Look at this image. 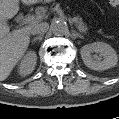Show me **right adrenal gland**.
<instances>
[{
  "instance_id": "2a0ac1e0",
  "label": "right adrenal gland",
  "mask_w": 119,
  "mask_h": 119,
  "mask_svg": "<svg viewBox=\"0 0 119 119\" xmlns=\"http://www.w3.org/2000/svg\"><path fill=\"white\" fill-rule=\"evenodd\" d=\"M42 38H43V35L38 36V37H34L33 40H32V42H35L37 40H42Z\"/></svg>"
}]
</instances>
